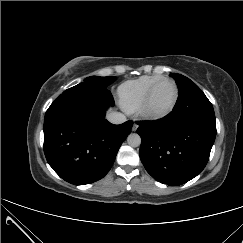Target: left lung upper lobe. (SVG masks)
Listing matches in <instances>:
<instances>
[{"label":"left lung upper lobe","instance_id":"obj_1","mask_svg":"<svg viewBox=\"0 0 243 243\" xmlns=\"http://www.w3.org/2000/svg\"><path fill=\"white\" fill-rule=\"evenodd\" d=\"M178 86L179 113L192 119H215L213 106L201 89L189 78L171 73Z\"/></svg>","mask_w":243,"mask_h":243}]
</instances>
